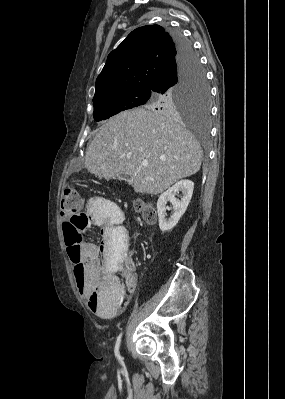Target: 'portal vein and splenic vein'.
Masks as SVG:
<instances>
[{
  "mask_svg": "<svg viewBox=\"0 0 285 399\" xmlns=\"http://www.w3.org/2000/svg\"><path fill=\"white\" fill-rule=\"evenodd\" d=\"M143 166H144V167H147V166H148V163H143Z\"/></svg>",
  "mask_w": 285,
  "mask_h": 399,
  "instance_id": "portal-vein-and-splenic-vein-1",
  "label": "portal vein and splenic vein"
}]
</instances>
